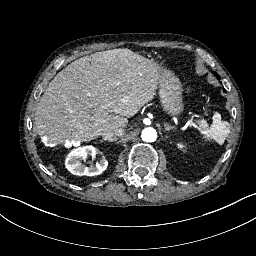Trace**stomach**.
I'll use <instances>...</instances> for the list:
<instances>
[{
	"label": "stomach",
	"instance_id": "1",
	"mask_svg": "<svg viewBox=\"0 0 256 256\" xmlns=\"http://www.w3.org/2000/svg\"><path fill=\"white\" fill-rule=\"evenodd\" d=\"M158 94L162 108L175 116L183 111L182 87L179 79L169 70L162 71L158 80Z\"/></svg>",
	"mask_w": 256,
	"mask_h": 256
}]
</instances>
